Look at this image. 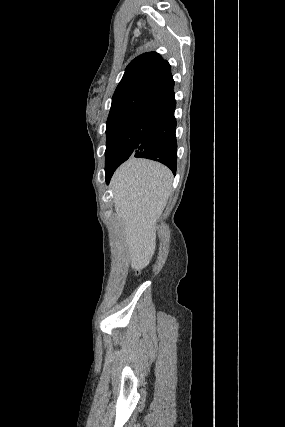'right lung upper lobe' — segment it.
I'll return each mask as SVG.
<instances>
[{
  "mask_svg": "<svg viewBox=\"0 0 285 427\" xmlns=\"http://www.w3.org/2000/svg\"><path fill=\"white\" fill-rule=\"evenodd\" d=\"M174 80L171 67L156 52L144 53L127 66L112 97L108 122L146 112L171 95Z\"/></svg>",
  "mask_w": 285,
  "mask_h": 427,
  "instance_id": "obj_1",
  "label": "right lung upper lobe"
}]
</instances>
